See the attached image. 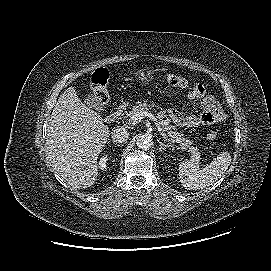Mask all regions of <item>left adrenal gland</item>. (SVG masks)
Instances as JSON below:
<instances>
[{
    "mask_svg": "<svg viewBox=\"0 0 271 271\" xmlns=\"http://www.w3.org/2000/svg\"><path fill=\"white\" fill-rule=\"evenodd\" d=\"M158 143H159V146H160V150L163 151V150H166L170 145L169 144H165L163 142H161L160 140H158Z\"/></svg>",
    "mask_w": 271,
    "mask_h": 271,
    "instance_id": "1",
    "label": "left adrenal gland"
}]
</instances>
